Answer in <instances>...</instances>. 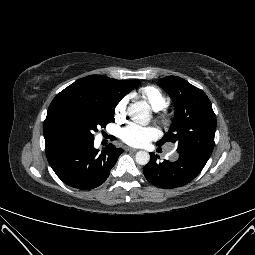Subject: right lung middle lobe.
<instances>
[{
	"label": "right lung middle lobe",
	"mask_w": 255,
	"mask_h": 255,
	"mask_svg": "<svg viewBox=\"0 0 255 255\" xmlns=\"http://www.w3.org/2000/svg\"><path fill=\"white\" fill-rule=\"evenodd\" d=\"M138 80L129 81L127 93L138 85ZM116 105L92 102L77 107L69 117L67 129L71 140H94L98 127H105L114 119Z\"/></svg>",
	"instance_id": "1"
}]
</instances>
